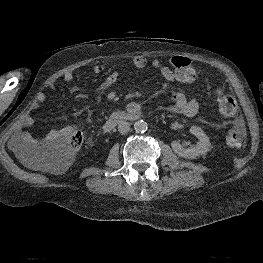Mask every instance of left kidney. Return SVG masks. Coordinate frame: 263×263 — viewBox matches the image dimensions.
Segmentation results:
<instances>
[{"label": "left kidney", "instance_id": "left-kidney-1", "mask_svg": "<svg viewBox=\"0 0 263 263\" xmlns=\"http://www.w3.org/2000/svg\"><path fill=\"white\" fill-rule=\"evenodd\" d=\"M189 132L198 138L199 142L195 146L184 148L183 145L175 141L172 143L173 150L183 158L195 159L209 151L211 143L206 133L198 126H191Z\"/></svg>", "mask_w": 263, "mask_h": 263}]
</instances>
